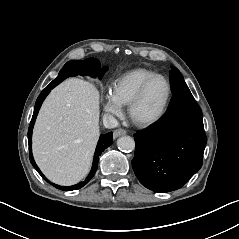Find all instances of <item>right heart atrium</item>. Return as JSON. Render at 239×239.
Segmentation results:
<instances>
[{
  "label": "right heart atrium",
  "mask_w": 239,
  "mask_h": 239,
  "mask_svg": "<svg viewBox=\"0 0 239 239\" xmlns=\"http://www.w3.org/2000/svg\"><path fill=\"white\" fill-rule=\"evenodd\" d=\"M104 111L110 115H119L122 111V106L110 94H106Z\"/></svg>",
  "instance_id": "obj_1"
}]
</instances>
